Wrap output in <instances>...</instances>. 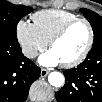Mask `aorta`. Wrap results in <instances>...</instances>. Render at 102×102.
<instances>
[{
    "label": "aorta",
    "instance_id": "aorta-1",
    "mask_svg": "<svg viewBox=\"0 0 102 102\" xmlns=\"http://www.w3.org/2000/svg\"><path fill=\"white\" fill-rule=\"evenodd\" d=\"M48 81L54 87H61L64 84V76L62 73L54 71L49 74Z\"/></svg>",
    "mask_w": 102,
    "mask_h": 102
}]
</instances>
